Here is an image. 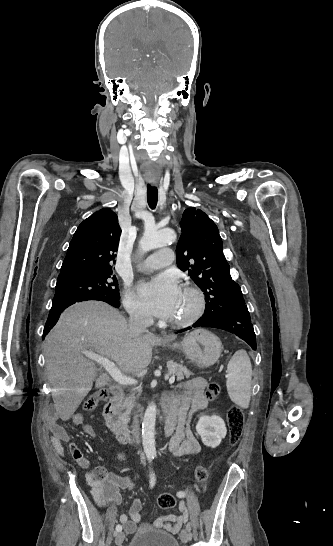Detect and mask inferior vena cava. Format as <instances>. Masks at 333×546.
Listing matches in <instances>:
<instances>
[{
    "label": "inferior vena cava",
    "instance_id": "inferior-vena-cava-1",
    "mask_svg": "<svg viewBox=\"0 0 333 546\" xmlns=\"http://www.w3.org/2000/svg\"><path fill=\"white\" fill-rule=\"evenodd\" d=\"M129 330L131 333L140 334L145 331L149 324L147 317H145L140 311L135 308L129 309ZM139 431L138 415L133 419V436L136 437Z\"/></svg>",
    "mask_w": 333,
    "mask_h": 546
}]
</instances>
